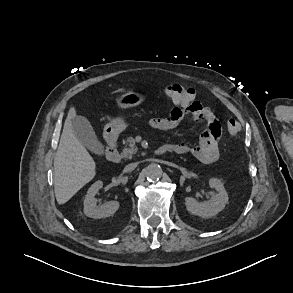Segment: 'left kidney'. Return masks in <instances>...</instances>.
Masks as SVG:
<instances>
[{
    "mask_svg": "<svg viewBox=\"0 0 293 293\" xmlns=\"http://www.w3.org/2000/svg\"><path fill=\"white\" fill-rule=\"evenodd\" d=\"M209 186L217 191V193L212 195L209 202L201 203L192 197L185 198L186 209L191 214L202 218L213 217L222 211L228 203V194L221 180L211 178L209 180Z\"/></svg>",
    "mask_w": 293,
    "mask_h": 293,
    "instance_id": "1",
    "label": "left kidney"
}]
</instances>
